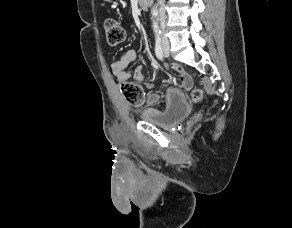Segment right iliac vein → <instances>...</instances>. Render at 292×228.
Segmentation results:
<instances>
[{
  "label": "right iliac vein",
  "mask_w": 292,
  "mask_h": 228,
  "mask_svg": "<svg viewBox=\"0 0 292 228\" xmlns=\"http://www.w3.org/2000/svg\"><path fill=\"white\" fill-rule=\"evenodd\" d=\"M164 47L167 48L168 46L167 45H164Z\"/></svg>",
  "instance_id": "1"
}]
</instances>
